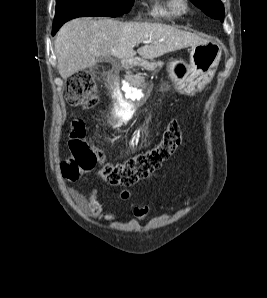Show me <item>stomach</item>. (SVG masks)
Returning <instances> with one entry per match:
<instances>
[{
	"mask_svg": "<svg viewBox=\"0 0 267 298\" xmlns=\"http://www.w3.org/2000/svg\"><path fill=\"white\" fill-rule=\"evenodd\" d=\"M222 48L218 41L208 40L204 44L194 45L190 51V62H171L169 75L174 89L182 94L194 95L213 78L221 58ZM138 65L145 66L146 61L138 59Z\"/></svg>",
	"mask_w": 267,
	"mask_h": 298,
	"instance_id": "stomach-1",
	"label": "stomach"
}]
</instances>
